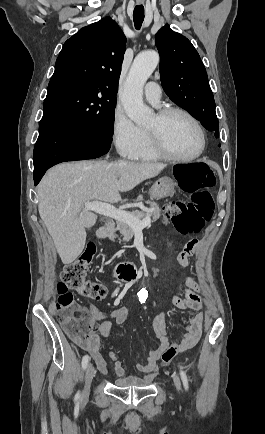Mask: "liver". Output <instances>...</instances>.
Returning <instances> with one entry per match:
<instances>
[{"mask_svg":"<svg viewBox=\"0 0 265 434\" xmlns=\"http://www.w3.org/2000/svg\"><path fill=\"white\" fill-rule=\"evenodd\" d=\"M167 164L135 162H73L51 168L38 186V212L63 264H72L84 250L85 228L97 216L83 210L85 202H121L119 192L158 176Z\"/></svg>","mask_w":265,"mask_h":434,"instance_id":"obj_1","label":"liver"}]
</instances>
